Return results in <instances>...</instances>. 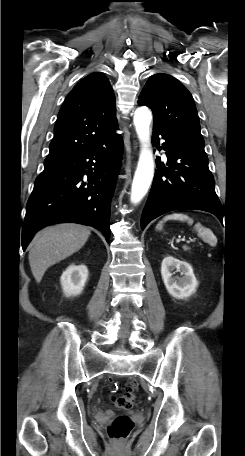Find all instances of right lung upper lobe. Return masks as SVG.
I'll return each instance as SVG.
<instances>
[{"instance_id": "cb5924a9", "label": "right lung upper lobe", "mask_w": 245, "mask_h": 456, "mask_svg": "<svg viewBox=\"0 0 245 456\" xmlns=\"http://www.w3.org/2000/svg\"><path fill=\"white\" fill-rule=\"evenodd\" d=\"M115 97L106 76L94 72L67 95L55 124L44 167L63 163L117 129Z\"/></svg>"}]
</instances>
